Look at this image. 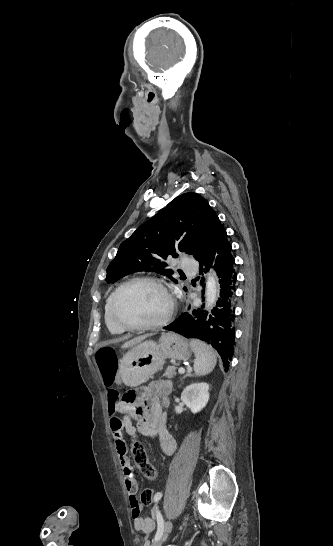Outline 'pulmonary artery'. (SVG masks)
<instances>
[{"instance_id":"e3ab8cb5","label":"pulmonary artery","mask_w":333,"mask_h":546,"mask_svg":"<svg viewBox=\"0 0 333 546\" xmlns=\"http://www.w3.org/2000/svg\"><path fill=\"white\" fill-rule=\"evenodd\" d=\"M181 266L184 270L190 271L194 267V261L190 258H183L181 260Z\"/></svg>"}]
</instances>
